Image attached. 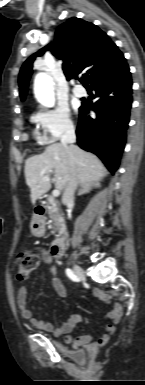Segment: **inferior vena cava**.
Returning a JSON list of instances; mask_svg holds the SVG:
<instances>
[{
	"label": "inferior vena cava",
	"instance_id": "602c4592",
	"mask_svg": "<svg viewBox=\"0 0 145 385\" xmlns=\"http://www.w3.org/2000/svg\"><path fill=\"white\" fill-rule=\"evenodd\" d=\"M76 142V135H75V129L73 126H68L64 135L61 138V143L65 147L72 148L74 143ZM70 164L72 167V174L71 178L69 180V184L66 187L63 197H62V203L64 205H67L74 200V193L77 186L78 178L75 173V157L73 154L69 155Z\"/></svg>",
	"mask_w": 145,
	"mask_h": 385
}]
</instances>
